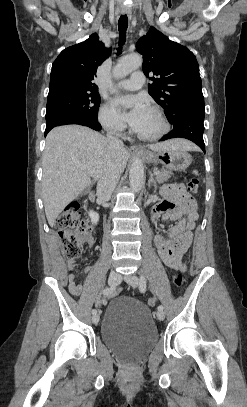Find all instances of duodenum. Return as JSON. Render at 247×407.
Listing matches in <instances>:
<instances>
[{"label":"duodenum","instance_id":"1","mask_svg":"<svg viewBox=\"0 0 247 407\" xmlns=\"http://www.w3.org/2000/svg\"><path fill=\"white\" fill-rule=\"evenodd\" d=\"M99 199V194L97 192H93L90 195V200L91 201H97Z\"/></svg>","mask_w":247,"mask_h":407}]
</instances>
